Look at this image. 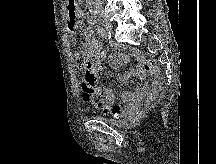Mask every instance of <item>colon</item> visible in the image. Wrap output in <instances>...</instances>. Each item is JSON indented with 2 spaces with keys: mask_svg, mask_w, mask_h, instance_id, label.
Listing matches in <instances>:
<instances>
[{
  "mask_svg": "<svg viewBox=\"0 0 216 164\" xmlns=\"http://www.w3.org/2000/svg\"><path fill=\"white\" fill-rule=\"evenodd\" d=\"M77 65L80 69L85 71L84 73V85L88 88L94 87L98 80V71L89 62L85 61L83 58H78ZM155 64L153 60H148L145 63V69L147 72L152 73L154 71ZM132 85V84H131Z\"/></svg>",
  "mask_w": 216,
  "mask_h": 164,
  "instance_id": "1",
  "label": "colon"
}]
</instances>
